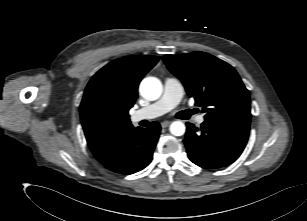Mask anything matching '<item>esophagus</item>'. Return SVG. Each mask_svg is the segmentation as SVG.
Wrapping results in <instances>:
<instances>
[{
  "mask_svg": "<svg viewBox=\"0 0 307 221\" xmlns=\"http://www.w3.org/2000/svg\"><path fill=\"white\" fill-rule=\"evenodd\" d=\"M170 121H163L162 123H161V127L162 128H166V127H168L169 125H170Z\"/></svg>",
  "mask_w": 307,
  "mask_h": 221,
  "instance_id": "obj_1",
  "label": "esophagus"
}]
</instances>
